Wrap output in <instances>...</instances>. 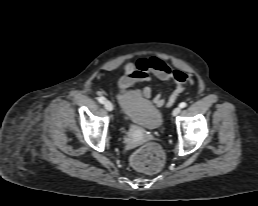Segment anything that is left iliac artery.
Instances as JSON below:
<instances>
[{"mask_svg": "<svg viewBox=\"0 0 258 206\" xmlns=\"http://www.w3.org/2000/svg\"><path fill=\"white\" fill-rule=\"evenodd\" d=\"M186 105H187V104H186L185 102H181V103L179 104V107H180V108H184V107H186Z\"/></svg>", "mask_w": 258, "mask_h": 206, "instance_id": "obj_1", "label": "left iliac artery"}]
</instances>
